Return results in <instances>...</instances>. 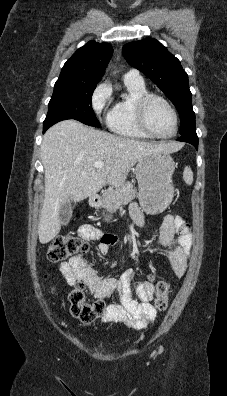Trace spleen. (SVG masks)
<instances>
[{"label": "spleen", "instance_id": "1", "mask_svg": "<svg viewBox=\"0 0 227 396\" xmlns=\"http://www.w3.org/2000/svg\"><path fill=\"white\" fill-rule=\"evenodd\" d=\"M183 179L187 185H191L193 183V172L188 166L184 169Z\"/></svg>", "mask_w": 227, "mask_h": 396}]
</instances>
